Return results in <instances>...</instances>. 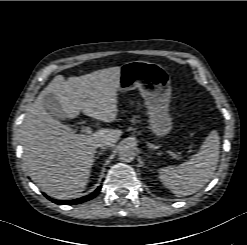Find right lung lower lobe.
Segmentation results:
<instances>
[{"label":"right lung lower lobe","mask_w":247,"mask_h":245,"mask_svg":"<svg viewBox=\"0 0 247 245\" xmlns=\"http://www.w3.org/2000/svg\"><path fill=\"white\" fill-rule=\"evenodd\" d=\"M100 190H101V186H99L90 195H87V196H84V197H81V198H78V199H74V200H71V201H61V200H55V199H51V198H48V199H50L52 202H54L56 204H59V205H74V204H79V203L91 200L92 198H94L99 193Z\"/></svg>","instance_id":"98d812e1"}]
</instances>
